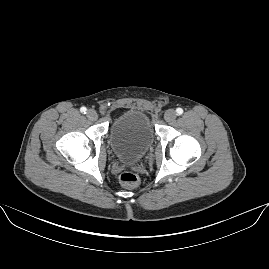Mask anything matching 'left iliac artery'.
<instances>
[{
	"instance_id": "left-iliac-artery-1",
	"label": "left iliac artery",
	"mask_w": 269,
	"mask_h": 269,
	"mask_svg": "<svg viewBox=\"0 0 269 269\" xmlns=\"http://www.w3.org/2000/svg\"><path fill=\"white\" fill-rule=\"evenodd\" d=\"M176 113H177V115H181L183 113V109L182 108H177Z\"/></svg>"
}]
</instances>
